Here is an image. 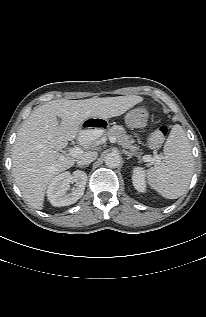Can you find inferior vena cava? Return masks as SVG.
I'll return each instance as SVG.
<instances>
[{
	"label": "inferior vena cava",
	"mask_w": 206,
	"mask_h": 317,
	"mask_svg": "<svg viewBox=\"0 0 206 317\" xmlns=\"http://www.w3.org/2000/svg\"><path fill=\"white\" fill-rule=\"evenodd\" d=\"M97 156V152H85L80 154L76 161L79 166H84L96 160Z\"/></svg>",
	"instance_id": "inferior-vena-cava-1"
}]
</instances>
